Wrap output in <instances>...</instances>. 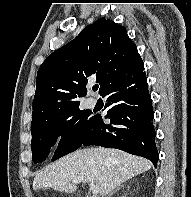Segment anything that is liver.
Returning a JSON list of instances; mask_svg holds the SVG:
<instances>
[{"mask_svg": "<svg viewBox=\"0 0 191 197\" xmlns=\"http://www.w3.org/2000/svg\"><path fill=\"white\" fill-rule=\"evenodd\" d=\"M152 163L142 157L110 148L79 149L37 172L33 189L52 188L73 193L77 184L93 183L106 196L128 179L150 170Z\"/></svg>", "mask_w": 191, "mask_h": 197, "instance_id": "obj_1", "label": "liver"}]
</instances>
